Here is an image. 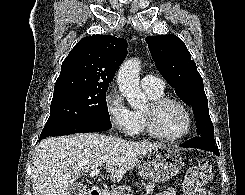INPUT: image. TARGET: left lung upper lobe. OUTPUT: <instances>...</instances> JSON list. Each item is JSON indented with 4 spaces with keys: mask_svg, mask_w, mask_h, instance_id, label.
Returning a JSON list of instances; mask_svg holds the SVG:
<instances>
[{
    "mask_svg": "<svg viewBox=\"0 0 245 195\" xmlns=\"http://www.w3.org/2000/svg\"><path fill=\"white\" fill-rule=\"evenodd\" d=\"M145 40L158 71L181 100L192 106L198 136L215 143L203 79L184 42L171 34L149 36Z\"/></svg>",
    "mask_w": 245,
    "mask_h": 195,
    "instance_id": "5c2ea615",
    "label": "left lung upper lobe"
}]
</instances>
